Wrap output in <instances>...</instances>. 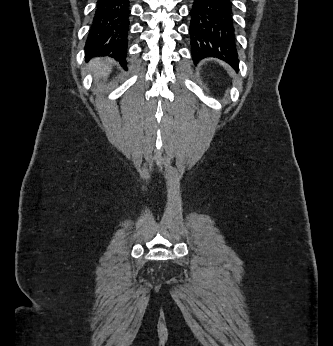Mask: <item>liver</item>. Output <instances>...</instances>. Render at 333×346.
Instances as JSON below:
<instances>
[{
    "label": "liver",
    "mask_w": 333,
    "mask_h": 346,
    "mask_svg": "<svg viewBox=\"0 0 333 346\" xmlns=\"http://www.w3.org/2000/svg\"><path fill=\"white\" fill-rule=\"evenodd\" d=\"M111 64L110 59L96 58L89 63V66L90 70L94 73L95 79H99L109 75Z\"/></svg>",
    "instance_id": "1"
}]
</instances>
